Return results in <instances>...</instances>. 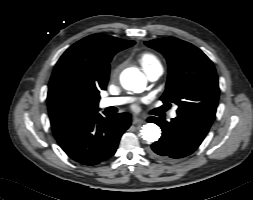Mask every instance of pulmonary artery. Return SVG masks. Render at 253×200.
<instances>
[{"label":"pulmonary artery","instance_id":"e3ab8cb5","mask_svg":"<svg viewBox=\"0 0 253 200\" xmlns=\"http://www.w3.org/2000/svg\"><path fill=\"white\" fill-rule=\"evenodd\" d=\"M143 70L150 81H156L163 73V68L161 65H155L153 67L145 68ZM130 100L131 98L129 97H108L101 99L99 102V106L101 108L114 107L125 104ZM176 116V110L173 109L170 112V117L175 118Z\"/></svg>","mask_w":253,"mask_h":200}]
</instances>
